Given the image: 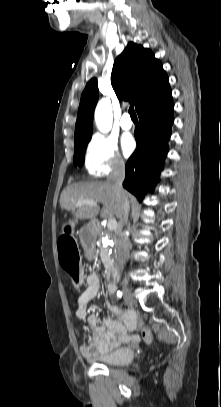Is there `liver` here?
<instances>
[{
    "label": "liver",
    "mask_w": 221,
    "mask_h": 407,
    "mask_svg": "<svg viewBox=\"0 0 221 407\" xmlns=\"http://www.w3.org/2000/svg\"><path fill=\"white\" fill-rule=\"evenodd\" d=\"M81 200H93L101 203L103 207L101 210L98 206L89 204L77 207L76 203ZM60 206L80 220L95 219L99 213L103 218H119L120 204L112 186L107 182H82L68 186L61 193Z\"/></svg>",
    "instance_id": "1"
}]
</instances>
